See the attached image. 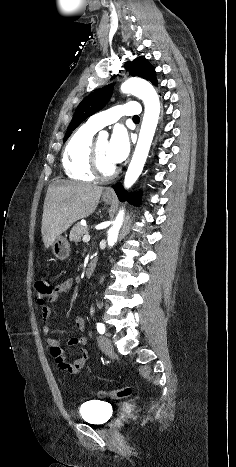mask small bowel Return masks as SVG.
Here are the masks:
<instances>
[{
	"instance_id": "c3829d8e",
	"label": "small bowel",
	"mask_w": 236,
	"mask_h": 467,
	"mask_svg": "<svg viewBox=\"0 0 236 467\" xmlns=\"http://www.w3.org/2000/svg\"><path fill=\"white\" fill-rule=\"evenodd\" d=\"M73 286V280L70 278L62 280L53 289V293L50 297L51 302H60L63 294L69 292ZM51 316V309L47 305L41 307V321L42 329L45 334L51 332L49 320ZM76 326L79 330L85 329L86 323L82 316H78L75 320ZM47 345L50 349V353L55 361L56 366L62 372L68 374H79L83 367L86 365L90 358V352L84 346L86 345L87 339L84 335L77 337H70L67 340V344L72 347H78V356L69 362L67 358V352L61 346V340L59 338L49 337L46 340Z\"/></svg>"
}]
</instances>
